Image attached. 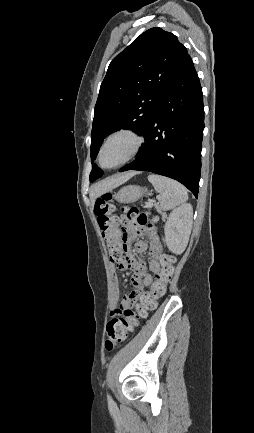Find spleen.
I'll list each match as a JSON object with an SVG mask.
<instances>
[{
    "label": "spleen",
    "instance_id": "spleen-1",
    "mask_svg": "<svg viewBox=\"0 0 254 433\" xmlns=\"http://www.w3.org/2000/svg\"><path fill=\"white\" fill-rule=\"evenodd\" d=\"M148 180L160 194L163 210L173 209L188 200L187 191L179 182L156 174L149 175Z\"/></svg>",
    "mask_w": 254,
    "mask_h": 433
}]
</instances>
